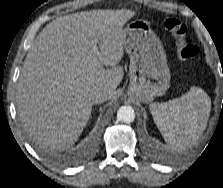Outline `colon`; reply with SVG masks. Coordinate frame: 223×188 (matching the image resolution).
<instances>
[{
	"mask_svg": "<svg viewBox=\"0 0 223 188\" xmlns=\"http://www.w3.org/2000/svg\"><path fill=\"white\" fill-rule=\"evenodd\" d=\"M164 28L173 36L179 58L182 61L191 62L197 58L199 49L197 46L187 42L186 27L181 20L168 18L164 22Z\"/></svg>",
	"mask_w": 223,
	"mask_h": 188,
	"instance_id": "obj_1",
	"label": "colon"
}]
</instances>
